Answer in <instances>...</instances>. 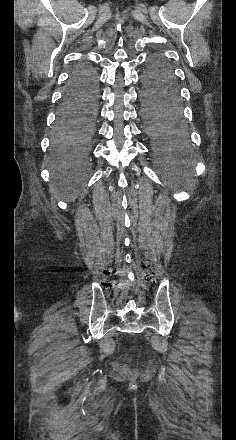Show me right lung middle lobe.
<instances>
[{
  "instance_id": "dd1d6c3e",
  "label": "right lung middle lobe",
  "mask_w": 236,
  "mask_h": 440,
  "mask_svg": "<svg viewBox=\"0 0 236 440\" xmlns=\"http://www.w3.org/2000/svg\"><path fill=\"white\" fill-rule=\"evenodd\" d=\"M80 92L84 101L80 111L81 121L74 128L57 130L52 139V153L61 164L79 161L88 153L99 94L98 83L88 82Z\"/></svg>"
}]
</instances>
